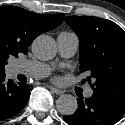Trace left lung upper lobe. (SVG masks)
Masks as SVG:
<instances>
[{"instance_id":"left-lung-upper-lobe-1","label":"left lung upper lobe","mask_w":125,"mask_h":125,"mask_svg":"<svg viewBox=\"0 0 125 125\" xmlns=\"http://www.w3.org/2000/svg\"><path fill=\"white\" fill-rule=\"evenodd\" d=\"M65 21L80 40V70L90 75L86 80L94 82L92 89L125 91L124 30L92 16H67Z\"/></svg>"}]
</instances>
